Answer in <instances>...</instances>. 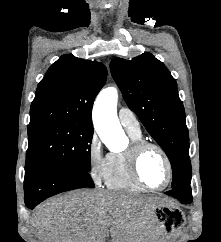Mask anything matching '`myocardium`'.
<instances>
[{"label": "myocardium", "instance_id": "myocardium-1", "mask_svg": "<svg viewBox=\"0 0 221 242\" xmlns=\"http://www.w3.org/2000/svg\"><path fill=\"white\" fill-rule=\"evenodd\" d=\"M156 149L163 157L166 167H167V180L164 185L161 187H151L149 186L142 178L141 173H140V161L144 153L148 149ZM128 152V164H129V169L130 173L133 177V179L144 189L149 190V191H163L166 189L173 178V166L172 162L170 160L169 155L165 151V149L152 141H147V140H139L135 141L131 144V146L127 150Z\"/></svg>", "mask_w": 221, "mask_h": 242}]
</instances>
